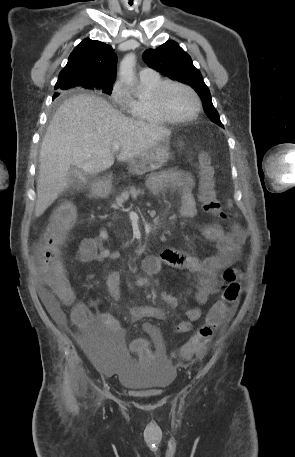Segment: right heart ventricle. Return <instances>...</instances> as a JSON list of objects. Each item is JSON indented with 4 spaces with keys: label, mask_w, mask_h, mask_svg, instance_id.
I'll use <instances>...</instances> for the list:
<instances>
[{
    "label": "right heart ventricle",
    "mask_w": 295,
    "mask_h": 457,
    "mask_svg": "<svg viewBox=\"0 0 295 457\" xmlns=\"http://www.w3.org/2000/svg\"><path fill=\"white\" fill-rule=\"evenodd\" d=\"M163 82L164 80L159 75L146 79L140 78V85L145 95L143 97L130 98V107L128 109L134 120L147 124H163L167 122L157 112L153 102L154 92Z\"/></svg>",
    "instance_id": "e07e8e85"
}]
</instances>
